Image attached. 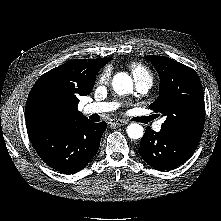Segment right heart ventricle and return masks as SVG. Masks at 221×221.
<instances>
[{
	"label": "right heart ventricle",
	"mask_w": 221,
	"mask_h": 221,
	"mask_svg": "<svg viewBox=\"0 0 221 221\" xmlns=\"http://www.w3.org/2000/svg\"><path fill=\"white\" fill-rule=\"evenodd\" d=\"M130 70L135 80L136 79H148L152 81V74L148 70V68L145 67L144 65L139 64V63H132L130 65Z\"/></svg>",
	"instance_id": "right-heart-ventricle-1"
}]
</instances>
